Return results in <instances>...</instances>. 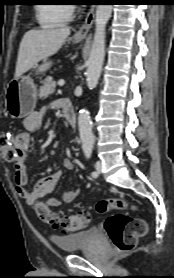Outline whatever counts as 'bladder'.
<instances>
[{"instance_id": "bladder-1", "label": "bladder", "mask_w": 174, "mask_h": 278, "mask_svg": "<svg viewBox=\"0 0 174 278\" xmlns=\"http://www.w3.org/2000/svg\"><path fill=\"white\" fill-rule=\"evenodd\" d=\"M98 237V229L89 228L68 235L53 236L52 242L64 252H75L91 245Z\"/></svg>"}]
</instances>
